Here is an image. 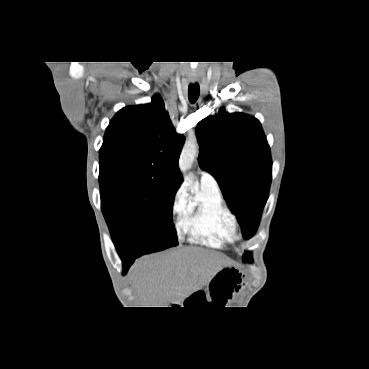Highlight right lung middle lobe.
<instances>
[{"mask_svg": "<svg viewBox=\"0 0 369 369\" xmlns=\"http://www.w3.org/2000/svg\"><path fill=\"white\" fill-rule=\"evenodd\" d=\"M101 209L120 257L177 246L172 223L175 189L133 173L100 171Z\"/></svg>", "mask_w": 369, "mask_h": 369, "instance_id": "1", "label": "right lung middle lobe"}]
</instances>
